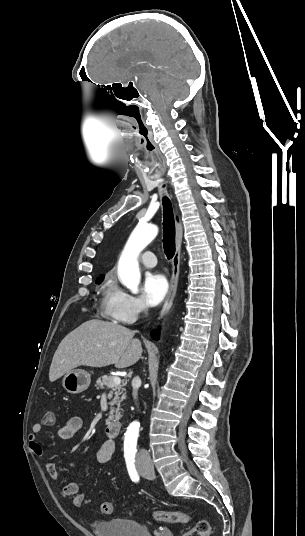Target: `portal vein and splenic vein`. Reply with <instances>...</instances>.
Wrapping results in <instances>:
<instances>
[{"label": "portal vein and splenic vein", "mask_w": 305, "mask_h": 536, "mask_svg": "<svg viewBox=\"0 0 305 536\" xmlns=\"http://www.w3.org/2000/svg\"><path fill=\"white\" fill-rule=\"evenodd\" d=\"M114 384H121V380L120 378H117V376H115V378H112V382H109L108 384L109 388H112Z\"/></svg>", "instance_id": "obj_1"}]
</instances>
